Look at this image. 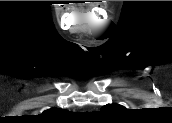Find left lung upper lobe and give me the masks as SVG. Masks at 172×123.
Listing matches in <instances>:
<instances>
[{
    "label": "left lung upper lobe",
    "mask_w": 172,
    "mask_h": 123,
    "mask_svg": "<svg viewBox=\"0 0 172 123\" xmlns=\"http://www.w3.org/2000/svg\"><path fill=\"white\" fill-rule=\"evenodd\" d=\"M112 107H122V106H120V105H118V104H112V105H106V106H104L103 107V109H107V110H109L110 108H112Z\"/></svg>",
    "instance_id": "left-lung-upper-lobe-1"
}]
</instances>
